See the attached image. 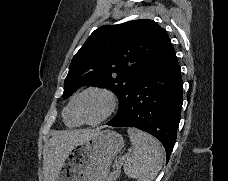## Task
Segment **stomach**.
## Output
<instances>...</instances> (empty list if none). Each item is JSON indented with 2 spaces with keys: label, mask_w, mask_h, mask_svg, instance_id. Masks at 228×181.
<instances>
[{
  "label": "stomach",
  "mask_w": 228,
  "mask_h": 181,
  "mask_svg": "<svg viewBox=\"0 0 228 181\" xmlns=\"http://www.w3.org/2000/svg\"><path fill=\"white\" fill-rule=\"evenodd\" d=\"M123 147V137L115 131L94 133L71 149L56 181H107L112 161Z\"/></svg>",
  "instance_id": "obj_1"
}]
</instances>
